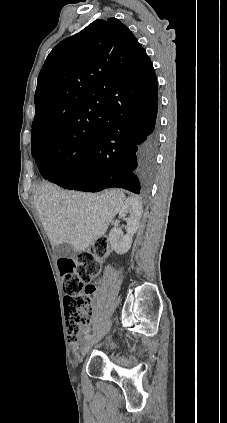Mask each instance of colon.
<instances>
[{"label": "colon", "instance_id": "1", "mask_svg": "<svg viewBox=\"0 0 227 423\" xmlns=\"http://www.w3.org/2000/svg\"><path fill=\"white\" fill-rule=\"evenodd\" d=\"M109 253L107 238H98L91 250L80 253L76 258L60 259L59 269L65 292L64 309L68 339H78L91 321V296L94 291L90 283L101 270L102 259Z\"/></svg>", "mask_w": 227, "mask_h": 423}]
</instances>
